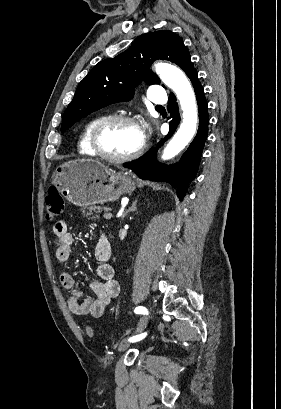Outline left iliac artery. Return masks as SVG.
I'll return each mask as SVG.
<instances>
[{
	"mask_svg": "<svg viewBox=\"0 0 281 409\" xmlns=\"http://www.w3.org/2000/svg\"><path fill=\"white\" fill-rule=\"evenodd\" d=\"M135 313H137V314H148V311H147V309L145 307L139 306V307L135 308ZM145 335H146L145 333L140 334V335H136V336L131 337L129 340L131 342H136V341H139V340L143 339L145 337Z\"/></svg>",
	"mask_w": 281,
	"mask_h": 409,
	"instance_id": "44dca946",
	"label": "left iliac artery"
}]
</instances>
